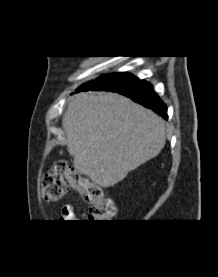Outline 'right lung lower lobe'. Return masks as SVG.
Segmentation results:
<instances>
[{
	"mask_svg": "<svg viewBox=\"0 0 218 277\" xmlns=\"http://www.w3.org/2000/svg\"><path fill=\"white\" fill-rule=\"evenodd\" d=\"M84 89H93L96 91H100L102 90L101 82L99 79H96L91 82H88L87 84H83L82 87L77 89V92L83 91ZM113 92L122 94L140 103L141 105L149 109H152L154 112L161 115L164 119H167L168 117L165 105L163 104L159 96L153 91L152 85L145 81L136 82L130 87L113 90Z\"/></svg>",
	"mask_w": 218,
	"mask_h": 277,
	"instance_id": "right-lung-lower-lobe-1",
	"label": "right lung lower lobe"
}]
</instances>
